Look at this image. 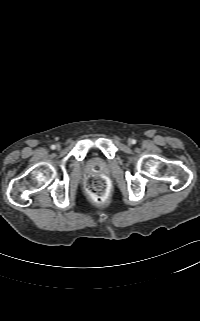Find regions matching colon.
<instances>
[{
    "instance_id": "colon-1",
    "label": "colon",
    "mask_w": 200,
    "mask_h": 321,
    "mask_svg": "<svg viewBox=\"0 0 200 321\" xmlns=\"http://www.w3.org/2000/svg\"><path fill=\"white\" fill-rule=\"evenodd\" d=\"M85 189L89 197L95 202H104L108 197V181L102 175L89 177L85 182Z\"/></svg>"
}]
</instances>
